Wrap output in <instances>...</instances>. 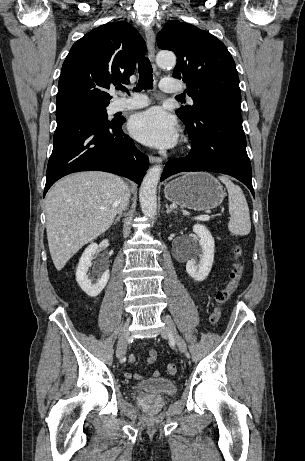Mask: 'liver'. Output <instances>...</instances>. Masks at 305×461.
Listing matches in <instances>:
<instances>
[{
  "label": "liver",
  "mask_w": 305,
  "mask_h": 461,
  "mask_svg": "<svg viewBox=\"0 0 305 461\" xmlns=\"http://www.w3.org/2000/svg\"><path fill=\"white\" fill-rule=\"evenodd\" d=\"M125 187L128 189L116 175L90 171L71 174L50 189L45 201L46 231L58 271L80 248L110 228Z\"/></svg>",
  "instance_id": "obj_1"
}]
</instances>
